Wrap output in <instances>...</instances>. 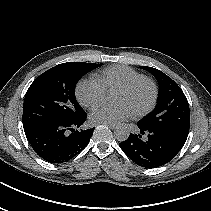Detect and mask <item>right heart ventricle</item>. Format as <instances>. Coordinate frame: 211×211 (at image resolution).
Returning a JSON list of instances; mask_svg holds the SVG:
<instances>
[{
  "label": "right heart ventricle",
  "mask_w": 211,
  "mask_h": 211,
  "mask_svg": "<svg viewBox=\"0 0 211 211\" xmlns=\"http://www.w3.org/2000/svg\"><path fill=\"white\" fill-rule=\"evenodd\" d=\"M143 76L142 73L129 66L117 65L103 69L96 75V78L103 84L106 90H113Z\"/></svg>",
  "instance_id": "right-heart-ventricle-1"
}]
</instances>
